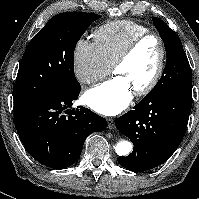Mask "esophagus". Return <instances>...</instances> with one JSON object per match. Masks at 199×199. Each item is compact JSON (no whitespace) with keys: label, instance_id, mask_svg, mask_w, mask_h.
Listing matches in <instances>:
<instances>
[{"label":"esophagus","instance_id":"34e87169","mask_svg":"<svg viewBox=\"0 0 199 199\" xmlns=\"http://www.w3.org/2000/svg\"><path fill=\"white\" fill-rule=\"evenodd\" d=\"M107 124L109 129H114L115 128V121L113 118H107Z\"/></svg>","mask_w":199,"mask_h":199}]
</instances>
